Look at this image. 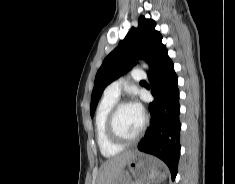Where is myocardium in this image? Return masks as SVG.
Wrapping results in <instances>:
<instances>
[{
    "instance_id": "myocardium-1",
    "label": "myocardium",
    "mask_w": 235,
    "mask_h": 184,
    "mask_svg": "<svg viewBox=\"0 0 235 184\" xmlns=\"http://www.w3.org/2000/svg\"><path fill=\"white\" fill-rule=\"evenodd\" d=\"M125 106H130V104L125 101L117 102L110 110L106 123L109 137L119 145H130L137 143L143 137L149 122L148 117L146 115H143V124L139 133L134 138L124 137L117 127V116L119 111Z\"/></svg>"
}]
</instances>
